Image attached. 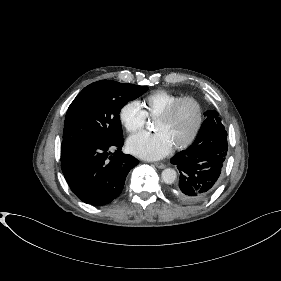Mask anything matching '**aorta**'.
<instances>
[{"mask_svg": "<svg viewBox=\"0 0 281 281\" xmlns=\"http://www.w3.org/2000/svg\"><path fill=\"white\" fill-rule=\"evenodd\" d=\"M162 181L166 184H172L177 178V173L172 168H166L161 173Z\"/></svg>", "mask_w": 281, "mask_h": 281, "instance_id": "obj_1", "label": "aorta"}]
</instances>
